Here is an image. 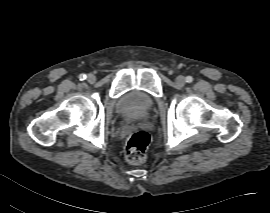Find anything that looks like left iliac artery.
<instances>
[{
  "label": "left iliac artery",
  "instance_id": "obj_1",
  "mask_svg": "<svg viewBox=\"0 0 270 213\" xmlns=\"http://www.w3.org/2000/svg\"><path fill=\"white\" fill-rule=\"evenodd\" d=\"M193 81V78L191 76L186 77V82L191 83Z\"/></svg>",
  "mask_w": 270,
  "mask_h": 213
}]
</instances>
